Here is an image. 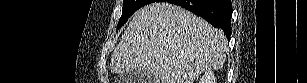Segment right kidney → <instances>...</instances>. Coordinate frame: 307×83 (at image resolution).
<instances>
[{
    "label": "right kidney",
    "instance_id": "1",
    "mask_svg": "<svg viewBox=\"0 0 307 83\" xmlns=\"http://www.w3.org/2000/svg\"><path fill=\"white\" fill-rule=\"evenodd\" d=\"M199 83H216L214 73L212 71L205 72V74L200 78Z\"/></svg>",
    "mask_w": 307,
    "mask_h": 83
}]
</instances>
